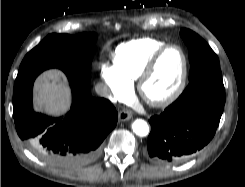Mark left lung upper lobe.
Listing matches in <instances>:
<instances>
[{
    "label": "left lung upper lobe",
    "mask_w": 245,
    "mask_h": 187,
    "mask_svg": "<svg viewBox=\"0 0 245 187\" xmlns=\"http://www.w3.org/2000/svg\"><path fill=\"white\" fill-rule=\"evenodd\" d=\"M180 35L189 50L190 80L220 67L217 55L198 34L189 29H181Z\"/></svg>",
    "instance_id": "1"
}]
</instances>
